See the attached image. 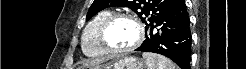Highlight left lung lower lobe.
Masks as SVG:
<instances>
[{"label":"left lung lower lobe","instance_id":"obj_1","mask_svg":"<svg viewBox=\"0 0 246 69\" xmlns=\"http://www.w3.org/2000/svg\"><path fill=\"white\" fill-rule=\"evenodd\" d=\"M146 39L136 51L153 52L190 69V20L184 0L175 2L145 31Z\"/></svg>","mask_w":246,"mask_h":69}]
</instances>
